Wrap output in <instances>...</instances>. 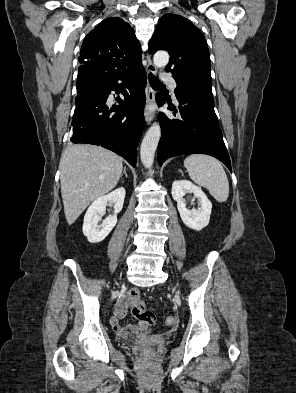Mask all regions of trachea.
<instances>
[{
    "label": "trachea",
    "instance_id": "1",
    "mask_svg": "<svg viewBox=\"0 0 296 393\" xmlns=\"http://www.w3.org/2000/svg\"><path fill=\"white\" fill-rule=\"evenodd\" d=\"M149 82L152 87L157 88V87H164L162 83H160L152 73H149Z\"/></svg>",
    "mask_w": 296,
    "mask_h": 393
}]
</instances>
